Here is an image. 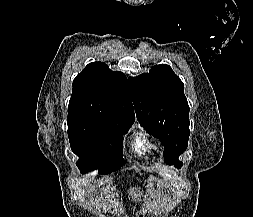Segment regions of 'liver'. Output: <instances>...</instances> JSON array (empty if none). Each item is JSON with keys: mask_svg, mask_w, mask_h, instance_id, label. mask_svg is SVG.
I'll use <instances>...</instances> for the list:
<instances>
[{"mask_svg": "<svg viewBox=\"0 0 253 217\" xmlns=\"http://www.w3.org/2000/svg\"><path fill=\"white\" fill-rule=\"evenodd\" d=\"M111 185V182H108L107 188L109 189ZM112 190H115V187L111 188ZM129 195H131L132 197H138L139 194H136V192L134 191V189H130ZM145 200L147 202V206H149L150 201L146 198L145 196ZM115 203V201L113 200V197L111 195L110 191H105L101 194L100 198H99V206L103 209V211H109L111 210L113 204ZM155 200H153L152 204H155Z\"/></svg>", "mask_w": 253, "mask_h": 217, "instance_id": "6515ba94", "label": "liver"}]
</instances>
